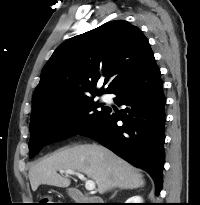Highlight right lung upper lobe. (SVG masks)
I'll list each match as a JSON object with an SVG mask.
<instances>
[{
	"label": "right lung upper lobe",
	"instance_id": "1",
	"mask_svg": "<svg viewBox=\"0 0 200 205\" xmlns=\"http://www.w3.org/2000/svg\"><path fill=\"white\" fill-rule=\"evenodd\" d=\"M154 60L147 38L124 20L107 22L62 43L44 66L30 120L48 105L65 99L113 93ZM103 76L109 81L96 89ZM106 84V81H104Z\"/></svg>",
	"mask_w": 200,
	"mask_h": 205
}]
</instances>
